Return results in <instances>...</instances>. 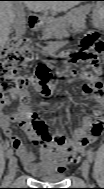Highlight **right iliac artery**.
<instances>
[{"label": "right iliac artery", "instance_id": "obj_1", "mask_svg": "<svg viewBox=\"0 0 104 189\" xmlns=\"http://www.w3.org/2000/svg\"><path fill=\"white\" fill-rule=\"evenodd\" d=\"M12 155H13V149L10 148V149L7 150V152H6V156H7V158H11Z\"/></svg>", "mask_w": 104, "mask_h": 189}]
</instances>
